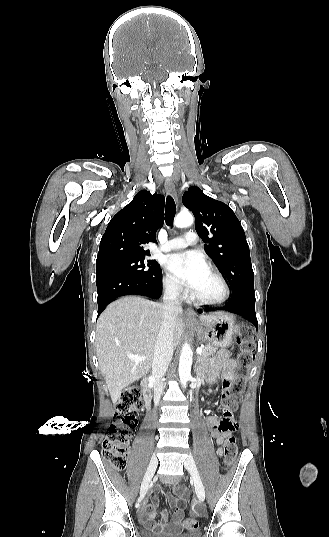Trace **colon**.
Listing matches in <instances>:
<instances>
[{
    "instance_id": "obj_1",
    "label": "colon",
    "mask_w": 329,
    "mask_h": 537,
    "mask_svg": "<svg viewBox=\"0 0 329 537\" xmlns=\"http://www.w3.org/2000/svg\"><path fill=\"white\" fill-rule=\"evenodd\" d=\"M241 353L238 357L239 368L235 380L228 392L222 395L223 421L220 429L225 435L223 444L224 459L226 465H231L236 459L238 445L233 432L237 424L232 417V411L237 407L241 394L246 388L250 366L254 359V337L250 329L239 334ZM141 392L138 388L124 391L116 403L115 416L109 427V432L102 446V456L117 469H123L126 465L127 453L130 445L132 430L137 425V410L140 405ZM187 530H194L198 526L195 518H188L184 522Z\"/></svg>"
}]
</instances>
